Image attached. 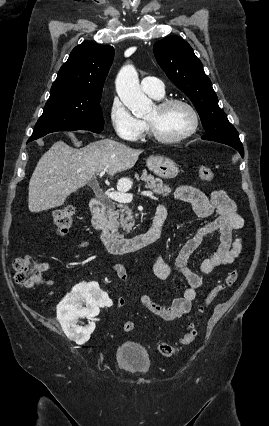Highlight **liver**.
<instances>
[{"instance_id":"6515ba94","label":"liver","mask_w":269,"mask_h":426,"mask_svg":"<svg viewBox=\"0 0 269 426\" xmlns=\"http://www.w3.org/2000/svg\"><path fill=\"white\" fill-rule=\"evenodd\" d=\"M140 151L111 139L92 142L75 149L64 141L55 142L42 155L29 182L30 212L46 211L64 204L66 198L93 177L106 170L109 175L128 170Z\"/></svg>"}]
</instances>
